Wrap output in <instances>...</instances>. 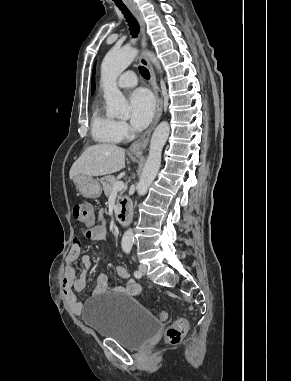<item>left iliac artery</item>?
Returning <instances> with one entry per match:
<instances>
[{
    "label": "left iliac artery",
    "instance_id": "1",
    "mask_svg": "<svg viewBox=\"0 0 291 381\" xmlns=\"http://www.w3.org/2000/svg\"><path fill=\"white\" fill-rule=\"evenodd\" d=\"M126 253H130V251H129V250H126ZM133 274H134V276H135L136 278H140V277L142 276V274H141L140 271H138V270H135Z\"/></svg>",
    "mask_w": 291,
    "mask_h": 381
}]
</instances>
